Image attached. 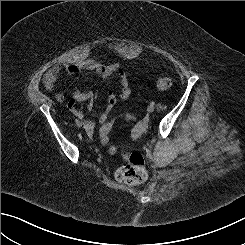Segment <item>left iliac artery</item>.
Masks as SVG:
<instances>
[{"label":"left iliac artery","mask_w":245,"mask_h":245,"mask_svg":"<svg viewBox=\"0 0 245 245\" xmlns=\"http://www.w3.org/2000/svg\"><path fill=\"white\" fill-rule=\"evenodd\" d=\"M154 104H155V102H153V101L150 103V105H152V106H153Z\"/></svg>","instance_id":"obj_1"}]
</instances>
